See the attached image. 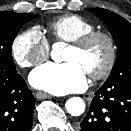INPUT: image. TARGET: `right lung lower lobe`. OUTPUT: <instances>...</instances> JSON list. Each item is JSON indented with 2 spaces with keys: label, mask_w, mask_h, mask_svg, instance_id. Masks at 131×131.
<instances>
[{
  "label": "right lung lower lobe",
  "mask_w": 131,
  "mask_h": 131,
  "mask_svg": "<svg viewBox=\"0 0 131 131\" xmlns=\"http://www.w3.org/2000/svg\"><path fill=\"white\" fill-rule=\"evenodd\" d=\"M35 98L16 70L0 69V131H30Z\"/></svg>",
  "instance_id": "1"
}]
</instances>
